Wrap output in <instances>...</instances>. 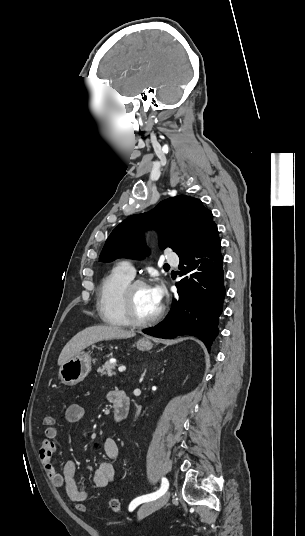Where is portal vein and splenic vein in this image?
Wrapping results in <instances>:
<instances>
[{"label":"portal vein and splenic vein","mask_w":305,"mask_h":536,"mask_svg":"<svg viewBox=\"0 0 305 536\" xmlns=\"http://www.w3.org/2000/svg\"><path fill=\"white\" fill-rule=\"evenodd\" d=\"M110 362H116V360H110ZM124 370H126L125 366H120V368H118V372H124Z\"/></svg>","instance_id":"1"}]
</instances>
